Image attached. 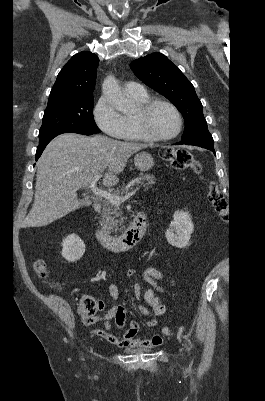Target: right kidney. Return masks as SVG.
Listing matches in <instances>:
<instances>
[{
  "instance_id": "ca27d5eb",
  "label": "right kidney",
  "mask_w": 265,
  "mask_h": 401,
  "mask_svg": "<svg viewBox=\"0 0 265 401\" xmlns=\"http://www.w3.org/2000/svg\"><path fill=\"white\" fill-rule=\"evenodd\" d=\"M62 255L69 263H76L85 253V245L78 235H69L62 243Z\"/></svg>"
}]
</instances>
